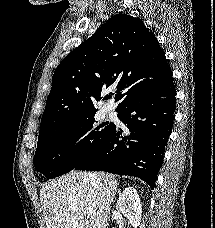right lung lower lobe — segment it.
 I'll use <instances>...</instances> for the list:
<instances>
[{
  "instance_id": "obj_1",
  "label": "right lung lower lobe",
  "mask_w": 215,
  "mask_h": 228,
  "mask_svg": "<svg viewBox=\"0 0 215 228\" xmlns=\"http://www.w3.org/2000/svg\"><path fill=\"white\" fill-rule=\"evenodd\" d=\"M175 96L172 75L139 84L132 98L117 110L131 134L123 136V130L114 125L110 135L74 170L137 176L154 189L172 130Z\"/></svg>"
}]
</instances>
